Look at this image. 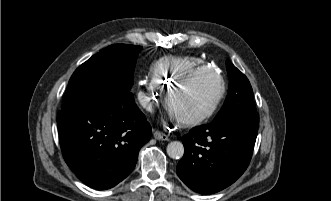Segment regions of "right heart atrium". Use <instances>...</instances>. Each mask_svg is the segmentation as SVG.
<instances>
[{"instance_id":"right-heart-atrium-1","label":"right heart atrium","mask_w":331,"mask_h":201,"mask_svg":"<svg viewBox=\"0 0 331 201\" xmlns=\"http://www.w3.org/2000/svg\"><path fill=\"white\" fill-rule=\"evenodd\" d=\"M142 87L137 92V99L145 110L151 111L159 98L160 90L153 80L143 81Z\"/></svg>"}]
</instances>
